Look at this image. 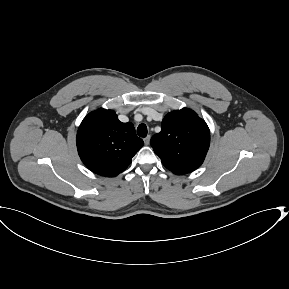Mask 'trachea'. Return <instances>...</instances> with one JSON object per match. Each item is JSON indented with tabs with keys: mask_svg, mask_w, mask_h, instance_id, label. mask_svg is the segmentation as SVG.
I'll use <instances>...</instances> for the list:
<instances>
[{
	"mask_svg": "<svg viewBox=\"0 0 289 289\" xmlns=\"http://www.w3.org/2000/svg\"><path fill=\"white\" fill-rule=\"evenodd\" d=\"M137 134L140 137H146L147 136V126L145 124H140L137 128Z\"/></svg>",
	"mask_w": 289,
	"mask_h": 289,
	"instance_id": "trachea-1",
	"label": "trachea"
}]
</instances>
